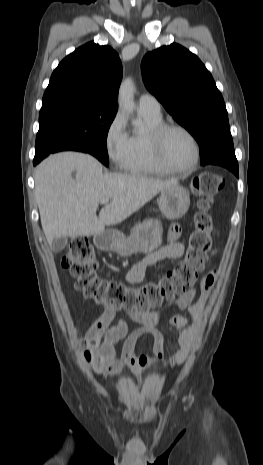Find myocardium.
Masks as SVG:
<instances>
[{"label": "myocardium", "instance_id": "myocardium-1", "mask_svg": "<svg viewBox=\"0 0 263 465\" xmlns=\"http://www.w3.org/2000/svg\"><path fill=\"white\" fill-rule=\"evenodd\" d=\"M177 130L184 133L193 143L195 157L192 164L184 169L176 168L168 163L164 155V139L168 132ZM149 142L156 163L166 172L174 174H188L195 170L201 155L200 144L195 135L186 127L176 123H162L149 132Z\"/></svg>", "mask_w": 263, "mask_h": 465}]
</instances>
